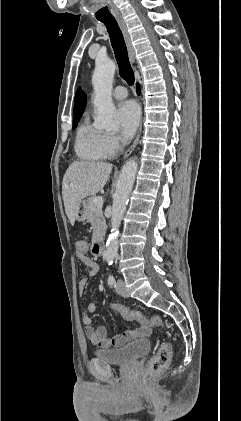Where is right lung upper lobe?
Masks as SVG:
<instances>
[{
  "label": "right lung upper lobe",
  "instance_id": "cb5924a9",
  "mask_svg": "<svg viewBox=\"0 0 241 421\" xmlns=\"http://www.w3.org/2000/svg\"><path fill=\"white\" fill-rule=\"evenodd\" d=\"M86 104H87L86 95L82 91L81 87H79L75 95L74 118H79L82 116V113L86 107Z\"/></svg>",
  "mask_w": 241,
  "mask_h": 421
}]
</instances>
